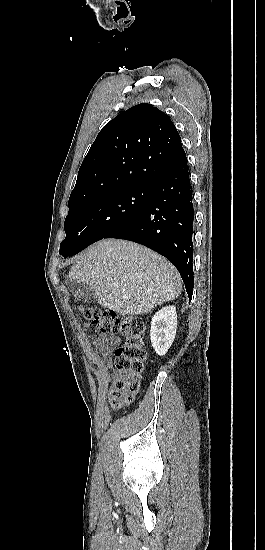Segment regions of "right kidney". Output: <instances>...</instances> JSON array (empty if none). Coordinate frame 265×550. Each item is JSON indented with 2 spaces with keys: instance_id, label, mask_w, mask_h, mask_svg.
Returning a JSON list of instances; mask_svg holds the SVG:
<instances>
[{
  "instance_id": "ca27d5eb",
  "label": "right kidney",
  "mask_w": 265,
  "mask_h": 550,
  "mask_svg": "<svg viewBox=\"0 0 265 550\" xmlns=\"http://www.w3.org/2000/svg\"><path fill=\"white\" fill-rule=\"evenodd\" d=\"M177 329V313L174 306H167L156 312L151 321L150 339L159 356L167 353Z\"/></svg>"
}]
</instances>
